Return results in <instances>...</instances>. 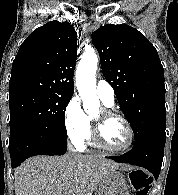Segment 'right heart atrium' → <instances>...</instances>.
<instances>
[{"label":"right heart atrium","instance_id":"obj_1","mask_svg":"<svg viewBox=\"0 0 178 195\" xmlns=\"http://www.w3.org/2000/svg\"><path fill=\"white\" fill-rule=\"evenodd\" d=\"M64 126L68 138L75 144H83L90 133V121L80 99L72 97L64 110Z\"/></svg>","mask_w":178,"mask_h":195}]
</instances>
